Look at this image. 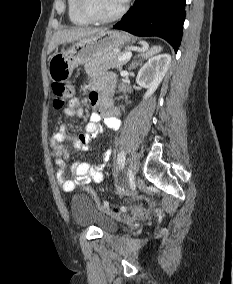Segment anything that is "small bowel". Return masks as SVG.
Masks as SVG:
<instances>
[{
	"instance_id": "c3829d8e",
	"label": "small bowel",
	"mask_w": 233,
	"mask_h": 284,
	"mask_svg": "<svg viewBox=\"0 0 233 284\" xmlns=\"http://www.w3.org/2000/svg\"><path fill=\"white\" fill-rule=\"evenodd\" d=\"M115 79L112 75L107 74L93 81L94 92L89 95L90 104L96 108L91 114L89 122L86 125L85 132L74 140L76 148L88 146L89 142L100 132L101 122L107 127L118 130L120 121L117 118V110L112 106L109 94L114 86ZM67 117H81L83 109L77 98H72L64 110ZM69 136L67 126L60 125L58 131L53 134L50 140V147L54 153L55 164L58 167L56 178L62 189L66 192L73 191L78 185H87L90 183L99 184L104 179L103 170L110 157V150L103 154V161L98 165H92L87 162L78 161L70 166L73 179L67 180L66 173L68 167L65 159L69 150L62 144Z\"/></svg>"
}]
</instances>
